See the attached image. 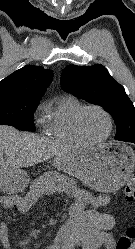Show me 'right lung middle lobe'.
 <instances>
[{"mask_svg": "<svg viewBox=\"0 0 135 249\" xmlns=\"http://www.w3.org/2000/svg\"><path fill=\"white\" fill-rule=\"evenodd\" d=\"M40 100L21 96L0 95V124L22 131H35L33 115Z\"/></svg>", "mask_w": 135, "mask_h": 249, "instance_id": "right-lung-middle-lobe-1", "label": "right lung middle lobe"}]
</instances>
